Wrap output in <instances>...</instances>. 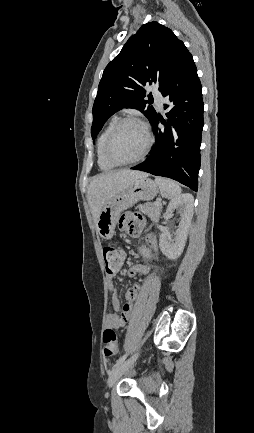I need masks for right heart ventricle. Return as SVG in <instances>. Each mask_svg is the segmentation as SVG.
<instances>
[{"instance_id":"e07e8e85","label":"right heart ventricle","mask_w":254,"mask_h":433,"mask_svg":"<svg viewBox=\"0 0 254 433\" xmlns=\"http://www.w3.org/2000/svg\"><path fill=\"white\" fill-rule=\"evenodd\" d=\"M119 120L120 119L118 117L111 118V120L109 121V123L107 124V126L105 127V129L103 130V132L101 133L97 141V163L99 168L103 171H109L115 167L104 158L103 147L108 134L113 129V127L119 122Z\"/></svg>"}]
</instances>
